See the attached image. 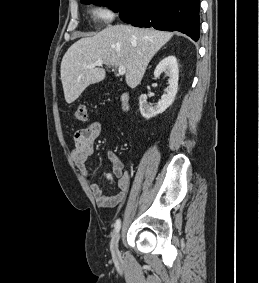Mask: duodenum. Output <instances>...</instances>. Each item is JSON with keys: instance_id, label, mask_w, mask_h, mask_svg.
Wrapping results in <instances>:
<instances>
[{"instance_id": "410a0bca", "label": "duodenum", "mask_w": 259, "mask_h": 283, "mask_svg": "<svg viewBox=\"0 0 259 283\" xmlns=\"http://www.w3.org/2000/svg\"><path fill=\"white\" fill-rule=\"evenodd\" d=\"M121 101H122L124 110L128 109L129 95L128 94H124L122 96V98H121Z\"/></svg>"}]
</instances>
